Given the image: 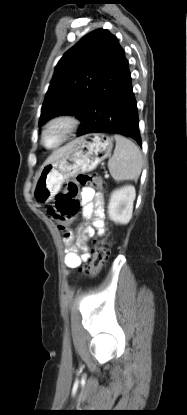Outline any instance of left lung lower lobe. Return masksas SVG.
Returning <instances> with one entry per match:
<instances>
[{
    "instance_id": "1",
    "label": "left lung lower lobe",
    "mask_w": 187,
    "mask_h": 415,
    "mask_svg": "<svg viewBox=\"0 0 187 415\" xmlns=\"http://www.w3.org/2000/svg\"><path fill=\"white\" fill-rule=\"evenodd\" d=\"M95 115L83 119L78 136L89 133H115L133 138L141 146L138 110L128 60L119 42L96 81L90 98Z\"/></svg>"
}]
</instances>
